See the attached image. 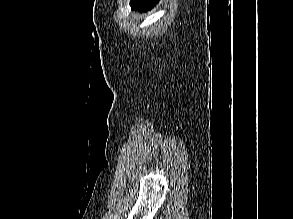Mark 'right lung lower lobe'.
Here are the masks:
<instances>
[{
  "mask_svg": "<svg viewBox=\"0 0 293 219\" xmlns=\"http://www.w3.org/2000/svg\"><path fill=\"white\" fill-rule=\"evenodd\" d=\"M159 0H131L132 8L140 11H148L158 3Z\"/></svg>",
  "mask_w": 293,
  "mask_h": 219,
  "instance_id": "obj_1",
  "label": "right lung lower lobe"
}]
</instances>
